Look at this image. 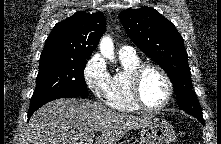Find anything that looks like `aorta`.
Listing matches in <instances>:
<instances>
[{"mask_svg": "<svg viewBox=\"0 0 221 144\" xmlns=\"http://www.w3.org/2000/svg\"><path fill=\"white\" fill-rule=\"evenodd\" d=\"M101 54L110 61L114 60V45L112 39L109 36H104L100 41Z\"/></svg>", "mask_w": 221, "mask_h": 144, "instance_id": "obj_1", "label": "aorta"}]
</instances>
